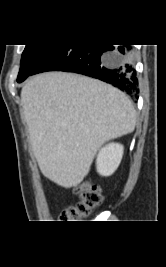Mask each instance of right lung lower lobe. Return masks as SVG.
Wrapping results in <instances>:
<instances>
[{"mask_svg": "<svg viewBox=\"0 0 166 267\" xmlns=\"http://www.w3.org/2000/svg\"><path fill=\"white\" fill-rule=\"evenodd\" d=\"M46 71L87 75L138 98V78L129 45H56L31 75Z\"/></svg>", "mask_w": 166, "mask_h": 267, "instance_id": "98d812e1", "label": "right lung lower lobe"}]
</instances>
